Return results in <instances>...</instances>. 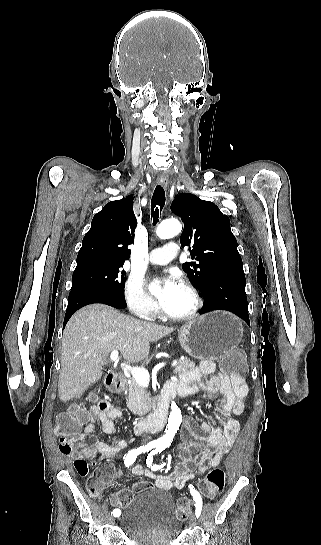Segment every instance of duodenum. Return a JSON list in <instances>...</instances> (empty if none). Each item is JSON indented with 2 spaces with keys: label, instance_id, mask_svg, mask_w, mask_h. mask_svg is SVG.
I'll use <instances>...</instances> for the list:
<instances>
[{
  "label": "duodenum",
  "instance_id": "obj_1",
  "mask_svg": "<svg viewBox=\"0 0 321 545\" xmlns=\"http://www.w3.org/2000/svg\"><path fill=\"white\" fill-rule=\"evenodd\" d=\"M125 385L124 378L117 373L109 374L106 378V386L108 390L114 393L122 391ZM183 395L176 383H169L156 399L155 410L146 417L140 418L134 425V433L142 435L147 432H156L161 430L166 423L167 409L170 401L176 393Z\"/></svg>",
  "mask_w": 321,
  "mask_h": 545
}]
</instances>
